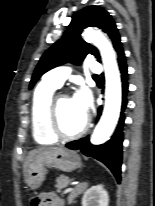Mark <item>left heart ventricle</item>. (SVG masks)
<instances>
[{
	"mask_svg": "<svg viewBox=\"0 0 155 206\" xmlns=\"http://www.w3.org/2000/svg\"><path fill=\"white\" fill-rule=\"evenodd\" d=\"M58 118L62 130L67 133L77 131L85 120V116L80 114L72 98L59 99Z\"/></svg>",
	"mask_w": 155,
	"mask_h": 206,
	"instance_id": "obj_1",
	"label": "left heart ventricle"
}]
</instances>
